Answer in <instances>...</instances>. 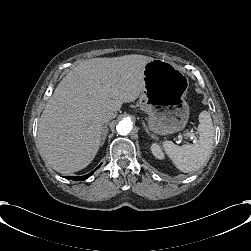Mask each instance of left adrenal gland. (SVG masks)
Wrapping results in <instances>:
<instances>
[{"mask_svg": "<svg viewBox=\"0 0 251 251\" xmlns=\"http://www.w3.org/2000/svg\"><path fill=\"white\" fill-rule=\"evenodd\" d=\"M142 123H143V125H145L144 122H142ZM150 136H151L152 138H154V139H157V137H156L155 135H153V134H151Z\"/></svg>", "mask_w": 251, "mask_h": 251, "instance_id": "1", "label": "left adrenal gland"}]
</instances>
